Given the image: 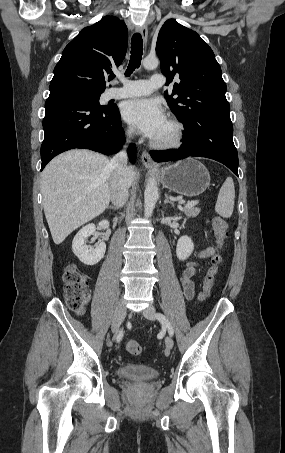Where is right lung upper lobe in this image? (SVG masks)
I'll list each match as a JSON object with an SVG mask.
<instances>
[{
  "label": "right lung upper lobe",
  "mask_w": 285,
  "mask_h": 453,
  "mask_svg": "<svg viewBox=\"0 0 285 453\" xmlns=\"http://www.w3.org/2000/svg\"><path fill=\"white\" fill-rule=\"evenodd\" d=\"M127 44V27L118 17L105 16L85 27L63 50L49 85L50 92L102 93L107 74L122 63Z\"/></svg>",
  "instance_id": "right-lung-upper-lobe-1"
}]
</instances>
